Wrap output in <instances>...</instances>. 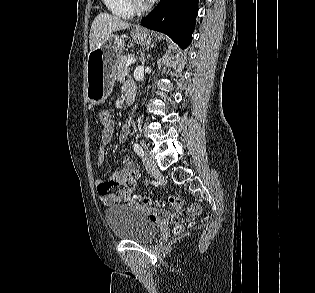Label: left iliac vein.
<instances>
[{"instance_id": "obj_1", "label": "left iliac vein", "mask_w": 315, "mask_h": 293, "mask_svg": "<svg viewBox=\"0 0 315 293\" xmlns=\"http://www.w3.org/2000/svg\"><path fill=\"white\" fill-rule=\"evenodd\" d=\"M143 163L148 172L152 174L157 173L158 171L157 164L153 157L150 155V153L147 151L143 155Z\"/></svg>"}]
</instances>
